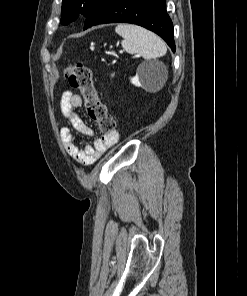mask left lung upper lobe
Here are the masks:
<instances>
[{
	"label": "left lung upper lobe",
	"instance_id": "5c2ea615",
	"mask_svg": "<svg viewBox=\"0 0 247 296\" xmlns=\"http://www.w3.org/2000/svg\"><path fill=\"white\" fill-rule=\"evenodd\" d=\"M103 0H63L62 17L63 25L69 24L78 18L79 14L87 17Z\"/></svg>",
	"mask_w": 247,
	"mask_h": 296
}]
</instances>
